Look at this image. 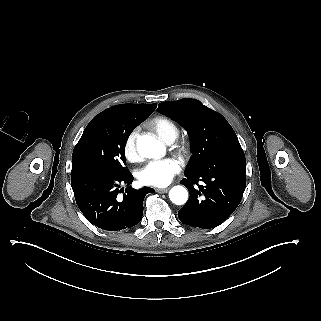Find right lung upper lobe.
Segmentation results:
<instances>
[{"label":"right lung upper lobe","instance_id":"1","mask_svg":"<svg viewBox=\"0 0 321 321\" xmlns=\"http://www.w3.org/2000/svg\"><path fill=\"white\" fill-rule=\"evenodd\" d=\"M157 104H122L103 111L112 120L123 123L143 122L156 108Z\"/></svg>","mask_w":321,"mask_h":321}]
</instances>
